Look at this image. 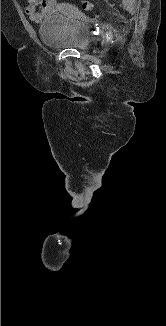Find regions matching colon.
Returning <instances> with one entry per match:
<instances>
[{"label":"colon","mask_w":166,"mask_h":326,"mask_svg":"<svg viewBox=\"0 0 166 326\" xmlns=\"http://www.w3.org/2000/svg\"><path fill=\"white\" fill-rule=\"evenodd\" d=\"M82 7L85 10H91L93 8V4L89 0H83L82 1Z\"/></svg>","instance_id":"1"}]
</instances>
